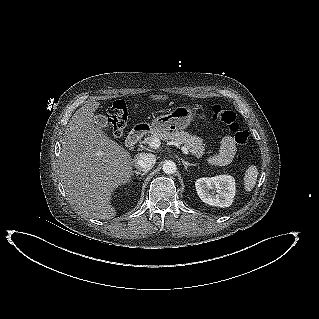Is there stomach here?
<instances>
[{
    "instance_id": "0dacf381",
    "label": "stomach",
    "mask_w": 319,
    "mask_h": 319,
    "mask_svg": "<svg viewBox=\"0 0 319 319\" xmlns=\"http://www.w3.org/2000/svg\"><path fill=\"white\" fill-rule=\"evenodd\" d=\"M197 116L198 118H204V114L197 113L194 107L186 104H179L172 108L168 114L155 118L151 123V127L153 131L157 132L183 131Z\"/></svg>"
}]
</instances>
